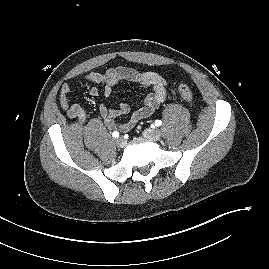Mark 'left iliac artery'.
Listing matches in <instances>:
<instances>
[{
	"label": "left iliac artery",
	"instance_id": "44dca946",
	"mask_svg": "<svg viewBox=\"0 0 269 269\" xmlns=\"http://www.w3.org/2000/svg\"><path fill=\"white\" fill-rule=\"evenodd\" d=\"M161 124H162V121H161V120H156V121H155V125H156V126H160Z\"/></svg>",
	"mask_w": 269,
	"mask_h": 269
}]
</instances>
